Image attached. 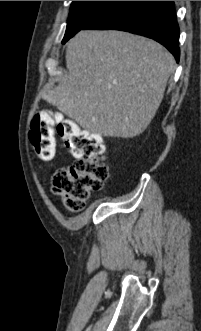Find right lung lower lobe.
Returning a JSON list of instances; mask_svg holds the SVG:
<instances>
[{
	"instance_id": "1",
	"label": "right lung lower lobe",
	"mask_w": 201,
	"mask_h": 331,
	"mask_svg": "<svg viewBox=\"0 0 201 331\" xmlns=\"http://www.w3.org/2000/svg\"><path fill=\"white\" fill-rule=\"evenodd\" d=\"M82 29L122 30L149 37L179 61V26L173 1H113Z\"/></svg>"
}]
</instances>
